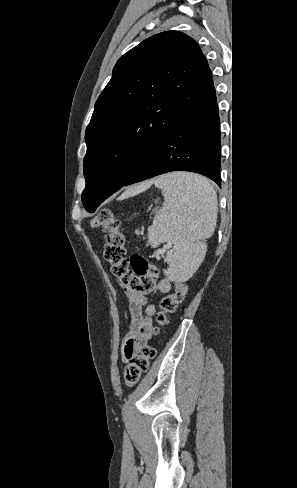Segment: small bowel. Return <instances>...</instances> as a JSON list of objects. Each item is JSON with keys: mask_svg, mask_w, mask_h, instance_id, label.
<instances>
[{"mask_svg": "<svg viewBox=\"0 0 297 488\" xmlns=\"http://www.w3.org/2000/svg\"><path fill=\"white\" fill-rule=\"evenodd\" d=\"M120 285L128 301V314H125V319L126 321L130 319V323L129 332L123 342V357L124 360L129 361L151 339L156 305L144 293L137 292L123 283ZM170 290V279L161 278L156 286V294L162 296L168 294Z\"/></svg>", "mask_w": 297, "mask_h": 488, "instance_id": "1", "label": "small bowel"}]
</instances>
